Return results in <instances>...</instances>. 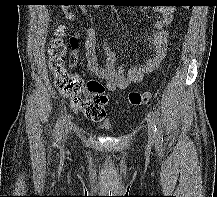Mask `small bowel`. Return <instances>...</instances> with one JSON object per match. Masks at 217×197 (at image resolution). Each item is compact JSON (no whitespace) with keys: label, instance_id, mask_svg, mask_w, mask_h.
<instances>
[{"label":"small bowel","instance_id":"c3829d8e","mask_svg":"<svg viewBox=\"0 0 217 197\" xmlns=\"http://www.w3.org/2000/svg\"><path fill=\"white\" fill-rule=\"evenodd\" d=\"M153 10L161 13L162 17L155 24V30L151 35L152 53L147 58L144 65L133 67L125 75L123 67H116L117 54L110 46L103 47L105 65L100 66L97 60V34L93 28L86 32L85 60L91 72L106 81L109 91L124 90L139 83L142 79L158 68L166 54V42L169 37L168 27L172 23L174 8L171 5H155ZM87 14L86 10H83ZM65 17L68 21H75L76 15L69 9H64ZM76 39L70 40L72 49L76 47Z\"/></svg>","mask_w":217,"mask_h":197}]
</instances>
